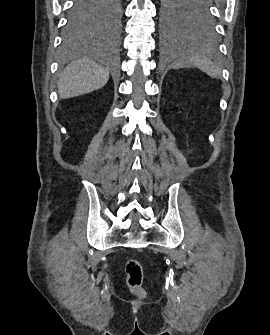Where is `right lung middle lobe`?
Listing matches in <instances>:
<instances>
[{
	"label": "right lung middle lobe",
	"instance_id": "obj_1",
	"mask_svg": "<svg viewBox=\"0 0 270 335\" xmlns=\"http://www.w3.org/2000/svg\"><path fill=\"white\" fill-rule=\"evenodd\" d=\"M122 1L74 0L64 29L65 44L75 43L100 24L117 27L122 13Z\"/></svg>",
	"mask_w": 270,
	"mask_h": 335
}]
</instances>
